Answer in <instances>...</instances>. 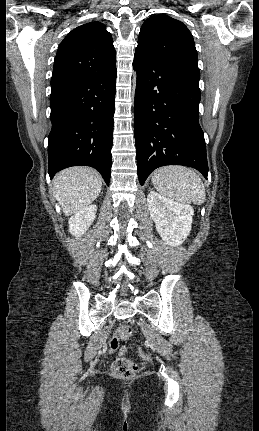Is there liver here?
I'll return each mask as SVG.
<instances>
[{"label": "liver", "mask_w": 259, "mask_h": 431, "mask_svg": "<svg viewBox=\"0 0 259 431\" xmlns=\"http://www.w3.org/2000/svg\"><path fill=\"white\" fill-rule=\"evenodd\" d=\"M54 196L66 216L88 206L102 189L100 174L90 167H70L59 172L53 181Z\"/></svg>", "instance_id": "1"}]
</instances>
